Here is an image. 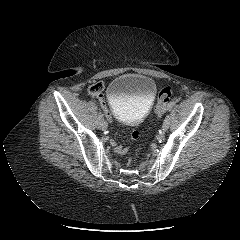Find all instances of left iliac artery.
<instances>
[{
    "label": "left iliac artery",
    "instance_id": "left-iliac-artery-1",
    "mask_svg": "<svg viewBox=\"0 0 240 240\" xmlns=\"http://www.w3.org/2000/svg\"><path fill=\"white\" fill-rule=\"evenodd\" d=\"M175 101H171L169 104H168V110H171L174 106H175Z\"/></svg>",
    "mask_w": 240,
    "mask_h": 240
}]
</instances>
